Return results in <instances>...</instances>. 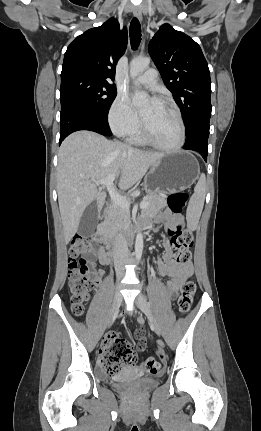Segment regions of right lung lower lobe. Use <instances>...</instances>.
I'll use <instances>...</instances> for the list:
<instances>
[{"instance_id": "obj_1", "label": "right lung lower lobe", "mask_w": 261, "mask_h": 431, "mask_svg": "<svg viewBox=\"0 0 261 431\" xmlns=\"http://www.w3.org/2000/svg\"><path fill=\"white\" fill-rule=\"evenodd\" d=\"M60 140L59 144L72 132L78 130H89L99 134L110 136L107 116L93 114L78 105L63 101L61 102L60 115Z\"/></svg>"}]
</instances>
